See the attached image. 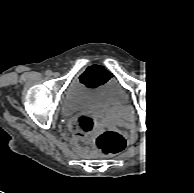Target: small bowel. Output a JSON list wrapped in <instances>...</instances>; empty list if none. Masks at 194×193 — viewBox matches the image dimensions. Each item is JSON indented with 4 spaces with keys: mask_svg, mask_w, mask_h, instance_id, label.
I'll return each mask as SVG.
<instances>
[{
    "mask_svg": "<svg viewBox=\"0 0 194 193\" xmlns=\"http://www.w3.org/2000/svg\"><path fill=\"white\" fill-rule=\"evenodd\" d=\"M80 81H81L82 83H85V82H84V76H81V77H80Z\"/></svg>",
    "mask_w": 194,
    "mask_h": 193,
    "instance_id": "c3829d8e",
    "label": "small bowel"
}]
</instances>
